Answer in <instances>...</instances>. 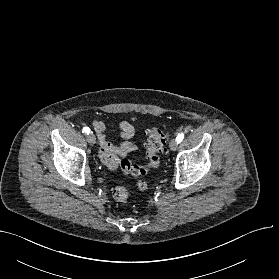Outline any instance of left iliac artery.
Returning <instances> with one entry per match:
<instances>
[{
    "instance_id": "1",
    "label": "left iliac artery",
    "mask_w": 279,
    "mask_h": 279,
    "mask_svg": "<svg viewBox=\"0 0 279 279\" xmlns=\"http://www.w3.org/2000/svg\"><path fill=\"white\" fill-rule=\"evenodd\" d=\"M184 138V134L183 133H180L177 137H176V142L177 143H180Z\"/></svg>"
}]
</instances>
